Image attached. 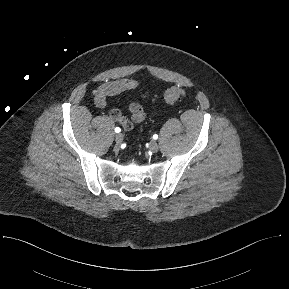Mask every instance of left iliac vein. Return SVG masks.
<instances>
[{"instance_id":"left-iliac-vein-1","label":"left iliac vein","mask_w":289,"mask_h":289,"mask_svg":"<svg viewBox=\"0 0 289 289\" xmlns=\"http://www.w3.org/2000/svg\"><path fill=\"white\" fill-rule=\"evenodd\" d=\"M149 149L150 151H152L153 153H156L159 149L158 143L156 141H151L149 143Z\"/></svg>"}]
</instances>
